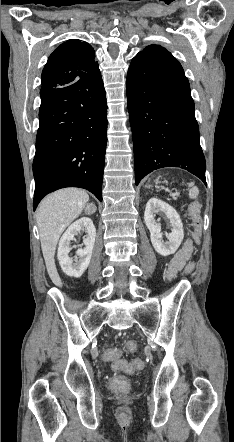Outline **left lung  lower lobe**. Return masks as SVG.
<instances>
[{
  "label": "left lung lower lobe",
  "instance_id": "left-lung-lower-lobe-1",
  "mask_svg": "<svg viewBox=\"0 0 234 442\" xmlns=\"http://www.w3.org/2000/svg\"><path fill=\"white\" fill-rule=\"evenodd\" d=\"M135 180L163 167H180L205 184L194 101L182 66L163 54L138 53L127 74Z\"/></svg>",
  "mask_w": 234,
  "mask_h": 442
}]
</instances>
